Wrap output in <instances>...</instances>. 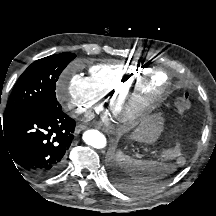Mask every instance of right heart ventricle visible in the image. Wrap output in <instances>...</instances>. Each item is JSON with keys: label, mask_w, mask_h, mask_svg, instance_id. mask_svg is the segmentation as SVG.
<instances>
[{"label": "right heart ventricle", "mask_w": 216, "mask_h": 216, "mask_svg": "<svg viewBox=\"0 0 216 216\" xmlns=\"http://www.w3.org/2000/svg\"><path fill=\"white\" fill-rule=\"evenodd\" d=\"M150 72L135 64L102 63L89 69V78L102 99H113Z\"/></svg>", "instance_id": "e07e8e85"}]
</instances>
